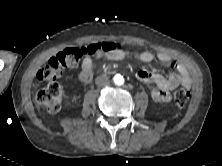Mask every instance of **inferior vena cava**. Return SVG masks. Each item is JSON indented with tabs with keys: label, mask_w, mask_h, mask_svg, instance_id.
<instances>
[{
	"label": "inferior vena cava",
	"mask_w": 222,
	"mask_h": 166,
	"mask_svg": "<svg viewBox=\"0 0 222 166\" xmlns=\"http://www.w3.org/2000/svg\"><path fill=\"white\" fill-rule=\"evenodd\" d=\"M96 84L98 86L105 87L110 84V80L106 75H101L96 78Z\"/></svg>",
	"instance_id": "602c4592"
}]
</instances>
